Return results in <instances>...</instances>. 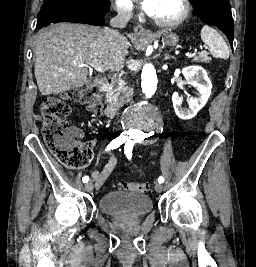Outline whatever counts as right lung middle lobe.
<instances>
[{
    "label": "right lung middle lobe",
    "mask_w": 256,
    "mask_h": 267,
    "mask_svg": "<svg viewBox=\"0 0 256 267\" xmlns=\"http://www.w3.org/2000/svg\"><path fill=\"white\" fill-rule=\"evenodd\" d=\"M109 6L110 0H45L38 14V21L54 13L78 15L85 10L106 13Z\"/></svg>",
    "instance_id": "right-lung-middle-lobe-1"
}]
</instances>
